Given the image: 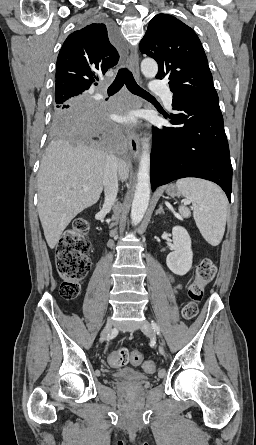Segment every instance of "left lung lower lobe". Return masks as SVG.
Returning a JSON list of instances; mask_svg holds the SVG:
<instances>
[{
    "mask_svg": "<svg viewBox=\"0 0 256 445\" xmlns=\"http://www.w3.org/2000/svg\"><path fill=\"white\" fill-rule=\"evenodd\" d=\"M171 123L153 130L152 190L198 177L217 183L231 200L232 166L219 104L173 96Z\"/></svg>",
    "mask_w": 256,
    "mask_h": 445,
    "instance_id": "obj_1",
    "label": "left lung lower lobe"
}]
</instances>
